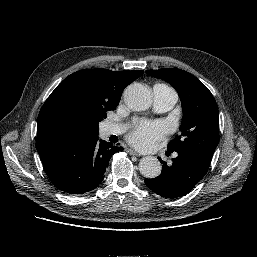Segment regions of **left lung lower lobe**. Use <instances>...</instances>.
I'll use <instances>...</instances> for the list:
<instances>
[{"label":"left lung lower lobe","instance_id":"obj_1","mask_svg":"<svg viewBox=\"0 0 257 257\" xmlns=\"http://www.w3.org/2000/svg\"><path fill=\"white\" fill-rule=\"evenodd\" d=\"M173 163L162 165L161 174L154 179H146V185L158 195L166 198H178L189 193L208 171L212 155L198 150H177ZM171 153V151H167Z\"/></svg>","mask_w":257,"mask_h":257}]
</instances>
